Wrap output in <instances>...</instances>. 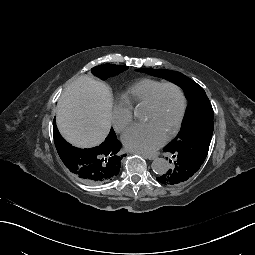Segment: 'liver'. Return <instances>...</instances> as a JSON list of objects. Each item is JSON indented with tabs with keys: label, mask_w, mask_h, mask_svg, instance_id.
<instances>
[{
	"label": "liver",
	"mask_w": 255,
	"mask_h": 255,
	"mask_svg": "<svg viewBox=\"0 0 255 255\" xmlns=\"http://www.w3.org/2000/svg\"><path fill=\"white\" fill-rule=\"evenodd\" d=\"M112 106L108 86L88 75L80 76L59 98L55 109L59 132L76 147L98 146L110 131Z\"/></svg>",
	"instance_id": "1"
}]
</instances>
